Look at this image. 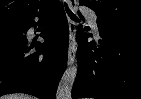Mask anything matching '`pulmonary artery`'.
I'll list each match as a JSON object with an SVG mask.
<instances>
[{"label":"pulmonary artery","instance_id":"pulmonary-artery-1","mask_svg":"<svg viewBox=\"0 0 141 99\" xmlns=\"http://www.w3.org/2000/svg\"><path fill=\"white\" fill-rule=\"evenodd\" d=\"M84 14L89 19L93 32L98 35L97 16L94 12L85 10Z\"/></svg>","mask_w":141,"mask_h":99}]
</instances>
